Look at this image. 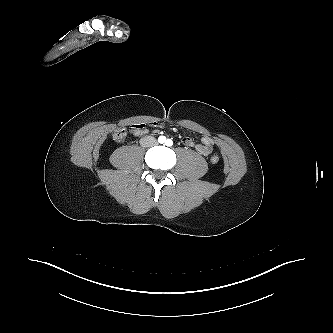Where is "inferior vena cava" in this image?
Masks as SVG:
<instances>
[{"label": "inferior vena cava", "instance_id": "1", "mask_svg": "<svg viewBox=\"0 0 333 333\" xmlns=\"http://www.w3.org/2000/svg\"><path fill=\"white\" fill-rule=\"evenodd\" d=\"M140 144L143 147H149L156 144V139L152 136H146L140 139Z\"/></svg>", "mask_w": 333, "mask_h": 333}]
</instances>
